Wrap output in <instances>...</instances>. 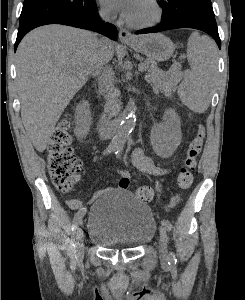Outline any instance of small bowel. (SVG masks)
Instances as JSON below:
<instances>
[{"label":"small bowel","instance_id":"1","mask_svg":"<svg viewBox=\"0 0 245 300\" xmlns=\"http://www.w3.org/2000/svg\"><path fill=\"white\" fill-rule=\"evenodd\" d=\"M99 132L101 135L106 136L101 131V129L99 130ZM131 162L133 166L137 168L139 171L153 176H166L171 172L169 168H163L155 165L153 160L150 157H148L141 148H136L132 151ZM118 176H119L118 187L120 189H127L129 187V182H130V173L127 171H118ZM102 193H103L102 190L93 193L92 196L89 198L88 202L89 203L93 202ZM66 203L69 206V208H71L72 210L79 211L84 209L82 207V202L76 198L69 197L67 198Z\"/></svg>","mask_w":245,"mask_h":300}]
</instances>
